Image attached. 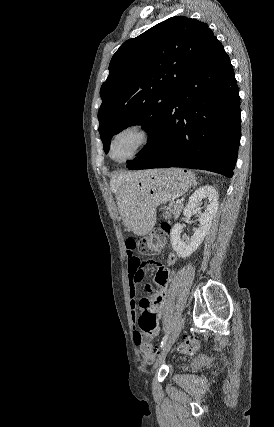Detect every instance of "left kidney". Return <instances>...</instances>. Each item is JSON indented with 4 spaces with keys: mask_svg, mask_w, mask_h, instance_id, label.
<instances>
[{
    "mask_svg": "<svg viewBox=\"0 0 274 427\" xmlns=\"http://www.w3.org/2000/svg\"><path fill=\"white\" fill-rule=\"evenodd\" d=\"M217 200L218 192H216L212 186H203V188H199V190H196L191 198H189V202L186 208H184L183 215H185V217H190V215L198 212L199 227H195L193 235H191L190 239H186L185 241V239L181 237V231L183 229L182 223H175V225H173L170 241L179 257H189V255L201 245L212 225L214 215L217 214ZM202 202H207L204 206L205 212H203V214L200 212L202 208H199Z\"/></svg>",
    "mask_w": 274,
    "mask_h": 427,
    "instance_id": "5707ae66",
    "label": "left kidney"
}]
</instances>
